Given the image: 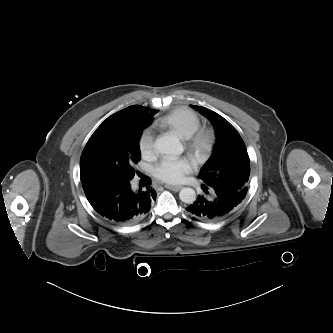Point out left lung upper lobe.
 Listing matches in <instances>:
<instances>
[{"label":"left lung upper lobe","mask_w":333,"mask_h":333,"mask_svg":"<svg viewBox=\"0 0 333 333\" xmlns=\"http://www.w3.org/2000/svg\"><path fill=\"white\" fill-rule=\"evenodd\" d=\"M192 108L207 117L215 127L216 143L199 178L208 186L225 185L244 199L250 175L249 156L237 130L217 113L196 105Z\"/></svg>","instance_id":"5c2ea615"}]
</instances>
